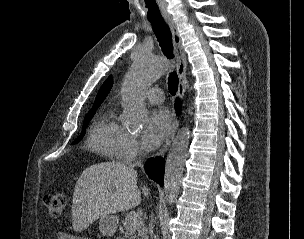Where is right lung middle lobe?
Masks as SVG:
<instances>
[{
  "instance_id": "right-lung-middle-lobe-1",
  "label": "right lung middle lobe",
  "mask_w": 304,
  "mask_h": 239,
  "mask_svg": "<svg viewBox=\"0 0 304 239\" xmlns=\"http://www.w3.org/2000/svg\"><path fill=\"white\" fill-rule=\"evenodd\" d=\"M98 107H93L89 112L88 114L85 116V119H84V124H83V130H82V133L81 135L78 137V139L73 142L72 144H75V143H78L84 136L85 134V128L87 127L89 121L91 120V118L93 117V115L95 114V111L97 110Z\"/></svg>"
}]
</instances>
